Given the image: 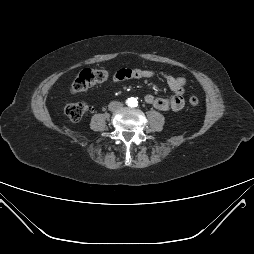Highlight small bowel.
I'll return each mask as SVG.
<instances>
[{"mask_svg":"<svg viewBox=\"0 0 254 254\" xmlns=\"http://www.w3.org/2000/svg\"><path fill=\"white\" fill-rule=\"evenodd\" d=\"M156 76V72L151 69L123 68L118 70L112 79V83H117L128 79H150ZM161 77L171 90L169 97H155L147 94L144 100L158 110H173L178 112L184 107L183 94L185 92L186 80L167 73H161Z\"/></svg>","mask_w":254,"mask_h":254,"instance_id":"obj_1","label":"small bowel"}]
</instances>
